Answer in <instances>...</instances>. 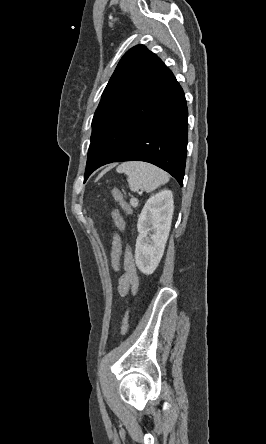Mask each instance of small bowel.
I'll use <instances>...</instances> for the list:
<instances>
[{
	"instance_id": "small-bowel-1",
	"label": "small bowel",
	"mask_w": 266,
	"mask_h": 444,
	"mask_svg": "<svg viewBox=\"0 0 266 444\" xmlns=\"http://www.w3.org/2000/svg\"><path fill=\"white\" fill-rule=\"evenodd\" d=\"M124 274L119 280V292L122 295H126L129 291L135 293L138 288V278L135 272L134 262L131 252L126 250L124 253Z\"/></svg>"
}]
</instances>
